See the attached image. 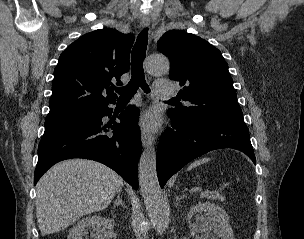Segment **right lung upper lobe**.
<instances>
[{
  "label": "right lung upper lobe",
  "instance_id": "1",
  "mask_svg": "<svg viewBox=\"0 0 304 239\" xmlns=\"http://www.w3.org/2000/svg\"><path fill=\"white\" fill-rule=\"evenodd\" d=\"M130 34L104 28L87 33L60 55L46 121L66 120L116 101L113 81L130 68Z\"/></svg>",
  "mask_w": 304,
  "mask_h": 239
}]
</instances>
